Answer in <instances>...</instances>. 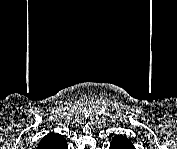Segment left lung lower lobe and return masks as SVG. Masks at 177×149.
I'll return each instance as SVG.
<instances>
[{"label": "left lung lower lobe", "instance_id": "left-lung-lower-lobe-1", "mask_svg": "<svg viewBox=\"0 0 177 149\" xmlns=\"http://www.w3.org/2000/svg\"><path fill=\"white\" fill-rule=\"evenodd\" d=\"M132 147L131 141L123 135H117L112 139L111 149H129Z\"/></svg>", "mask_w": 177, "mask_h": 149}]
</instances>
